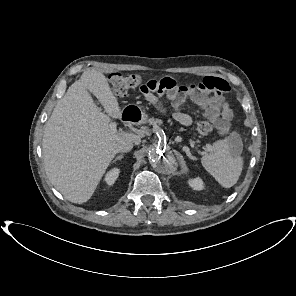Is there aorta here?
I'll list each match as a JSON object with an SVG mask.
<instances>
[{
	"label": "aorta",
	"mask_w": 296,
	"mask_h": 296,
	"mask_svg": "<svg viewBox=\"0 0 296 296\" xmlns=\"http://www.w3.org/2000/svg\"><path fill=\"white\" fill-rule=\"evenodd\" d=\"M148 159L152 167L159 172H169L176 165V158L173 152L164 146L150 149Z\"/></svg>",
	"instance_id": "aorta-1"
}]
</instances>
